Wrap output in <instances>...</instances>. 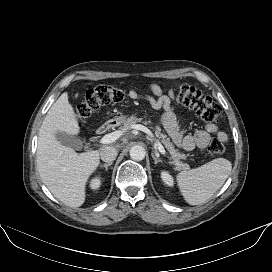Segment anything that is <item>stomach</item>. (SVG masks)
I'll return each mask as SVG.
<instances>
[{"label": "stomach", "mask_w": 272, "mask_h": 272, "mask_svg": "<svg viewBox=\"0 0 272 272\" xmlns=\"http://www.w3.org/2000/svg\"><path fill=\"white\" fill-rule=\"evenodd\" d=\"M125 117L124 116H120V117H117L115 118L114 120H112V122L115 124V125H120L122 123H124L125 121Z\"/></svg>", "instance_id": "1"}]
</instances>
